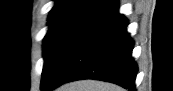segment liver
<instances>
[{
    "label": "liver",
    "mask_w": 173,
    "mask_h": 91,
    "mask_svg": "<svg viewBox=\"0 0 173 91\" xmlns=\"http://www.w3.org/2000/svg\"><path fill=\"white\" fill-rule=\"evenodd\" d=\"M56 91H124L121 87L95 80H81L62 85Z\"/></svg>",
    "instance_id": "6515ba94"
}]
</instances>
